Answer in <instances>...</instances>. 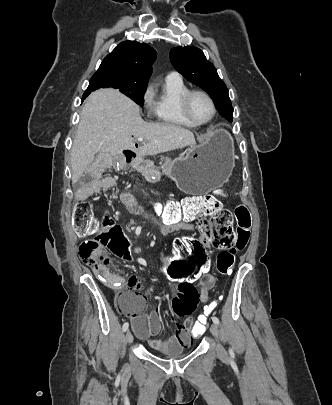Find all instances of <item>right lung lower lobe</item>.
Wrapping results in <instances>:
<instances>
[{"label":"right lung lower lobe","instance_id":"right-lung-lower-lobe-1","mask_svg":"<svg viewBox=\"0 0 332 405\" xmlns=\"http://www.w3.org/2000/svg\"><path fill=\"white\" fill-rule=\"evenodd\" d=\"M91 93V91H85L83 97H82V101Z\"/></svg>","mask_w":332,"mask_h":405}]
</instances>
